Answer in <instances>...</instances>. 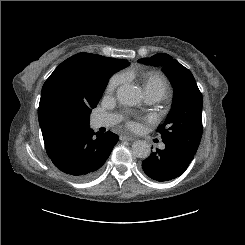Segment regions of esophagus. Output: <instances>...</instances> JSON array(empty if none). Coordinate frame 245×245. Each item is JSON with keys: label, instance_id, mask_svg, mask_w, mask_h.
Listing matches in <instances>:
<instances>
[{"label": "esophagus", "instance_id": "obj_1", "mask_svg": "<svg viewBox=\"0 0 245 245\" xmlns=\"http://www.w3.org/2000/svg\"><path fill=\"white\" fill-rule=\"evenodd\" d=\"M119 139L121 141H133L134 140V138L132 136H127V135H120Z\"/></svg>", "mask_w": 245, "mask_h": 245}]
</instances>
